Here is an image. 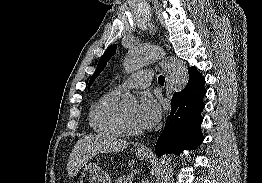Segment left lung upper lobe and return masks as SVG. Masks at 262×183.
<instances>
[{
	"mask_svg": "<svg viewBox=\"0 0 262 183\" xmlns=\"http://www.w3.org/2000/svg\"><path fill=\"white\" fill-rule=\"evenodd\" d=\"M116 45H112L110 46L105 53L102 55V57L100 58L96 71L94 72V74L91 76L90 82H89V86L92 85L93 81L95 80V78L100 74V72L104 69V67L106 66L107 61L111 58V56H113V54L116 51Z\"/></svg>",
	"mask_w": 262,
	"mask_h": 183,
	"instance_id": "obj_1",
	"label": "left lung upper lobe"
}]
</instances>
